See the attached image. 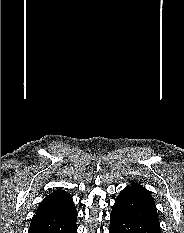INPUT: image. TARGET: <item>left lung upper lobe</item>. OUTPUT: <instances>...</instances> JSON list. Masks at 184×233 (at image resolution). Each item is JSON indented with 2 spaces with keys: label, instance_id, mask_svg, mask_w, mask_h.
I'll list each match as a JSON object with an SVG mask.
<instances>
[{
  "label": "left lung upper lobe",
  "instance_id": "left-lung-upper-lobe-1",
  "mask_svg": "<svg viewBox=\"0 0 184 233\" xmlns=\"http://www.w3.org/2000/svg\"><path fill=\"white\" fill-rule=\"evenodd\" d=\"M124 190L138 194L141 198L146 200L153 207L156 214L158 215L154 199L149 193V191H147L144 187H142L138 183H132L131 185L127 186Z\"/></svg>",
  "mask_w": 184,
  "mask_h": 233
}]
</instances>
